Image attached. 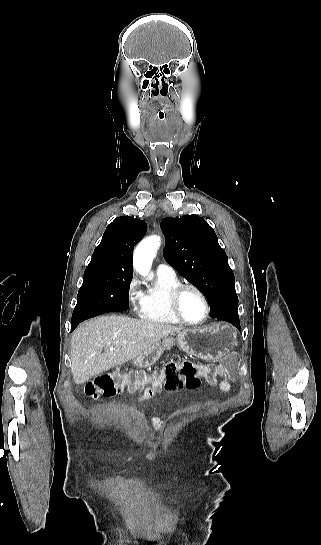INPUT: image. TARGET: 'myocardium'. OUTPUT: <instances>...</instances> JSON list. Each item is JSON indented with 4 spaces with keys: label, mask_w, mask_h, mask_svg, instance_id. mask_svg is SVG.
<instances>
[{
    "label": "myocardium",
    "mask_w": 321,
    "mask_h": 545,
    "mask_svg": "<svg viewBox=\"0 0 321 545\" xmlns=\"http://www.w3.org/2000/svg\"><path fill=\"white\" fill-rule=\"evenodd\" d=\"M185 290L195 291L200 296V298H201V300L203 302V305H204V308H205V314H204V317L198 322H194V323L193 322H188L187 320H185L181 316V314L179 312V308H178L179 298H180L181 294ZM167 308H168L169 313L173 317V319L178 324H180L182 326H185V327H192V328H197V327H200V326L204 325L208 321V319L210 317V312H211L210 303H209V300H208L206 294L197 285L190 284V283L179 284V285L175 286L174 288H172L169 291V293L167 294Z\"/></svg>",
    "instance_id": "1"
}]
</instances>
